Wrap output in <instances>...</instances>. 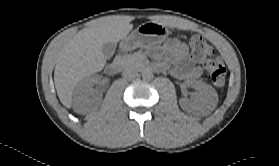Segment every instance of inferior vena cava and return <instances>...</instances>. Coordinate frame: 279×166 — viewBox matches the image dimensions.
<instances>
[{
    "instance_id": "inferior-vena-cava-1",
    "label": "inferior vena cava",
    "mask_w": 279,
    "mask_h": 166,
    "mask_svg": "<svg viewBox=\"0 0 279 166\" xmlns=\"http://www.w3.org/2000/svg\"><path fill=\"white\" fill-rule=\"evenodd\" d=\"M137 75H138V73H137V71L134 70V69L126 70V71H124V73H123V76H124L125 78H128V79H133V78L137 77Z\"/></svg>"
}]
</instances>
